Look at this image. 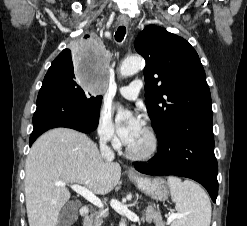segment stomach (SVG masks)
Segmentation results:
<instances>
[{
  "instance_id": "stomach-1",
  "label": "stomach",
  "mask_w": 247,
  "mask_h": 226,
  "mask_svg": "<svg viewBox=\"0 0 247 226\" xmlns=\"http://www.w3.org/2000/svg\"><path fill=\"white\" fill-rule=\"evenodd\" d=\"M129 179L136 187L156 200H165L169 196V190L165 181L161 178L131 177Z\"/></svg>"
}]
</instances>
